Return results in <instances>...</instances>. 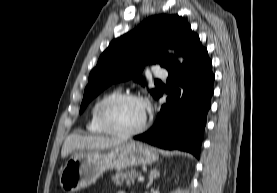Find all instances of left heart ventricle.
<instances>
[{
  "label": "left heart ventricle",
  "instance_id": "left-heart-ventricle-1",
  "mask_svg": "<svg viewBox=\"0 0 277 193\" xmlns=\"http://www.w3.org/2000/svg\"><path fill=\"white\" fill-rule=\"evenodd\" d=\"M146 114L144 103L137 100H125L109 109L111 124L118 130L128 131L137 128Z\"/></svg>",
  "mask_w": 277,
  "mask_h": 193
}]
</instances>
